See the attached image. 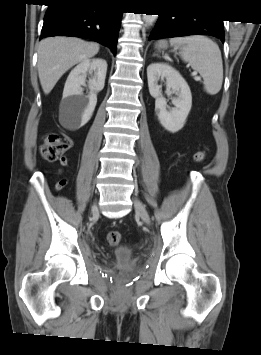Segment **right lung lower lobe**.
Segmentation results:
<instances>
[{
	"label": "right lung lower lobe",
	"instance_id": "98d812e1",
	"mask_svg": "<svg viewBox=\"0 0 261 355\" xmlns=\"http://www.w3.org/2000/svg\"><path fill=\"white\" fill-rule=\"evenodd\" d=\"M40 39L90 38L116 54L122 11L101 0H49Z\"/></svg>",
	"mask_w": 261,
	"mask_h": 355
}]
</instances>
